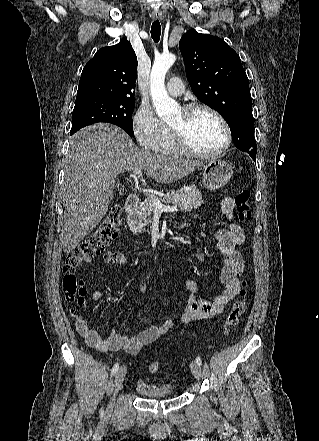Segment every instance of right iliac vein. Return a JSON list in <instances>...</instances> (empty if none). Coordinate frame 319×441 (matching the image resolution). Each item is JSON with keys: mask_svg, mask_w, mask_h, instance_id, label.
<instances>
[{"mask_svg": "<svg viewBox=\"0 0 319 441\" xmlns=\"http://www.w3.org/2000/svg\"><path fill=\"white\" fill-rule=\"evenodd\" d=\"M126 372H127L126 367L122 366L118 369V371L115 374L114 383H113L114 394H113L112 398L110 399L108 406L106 408L107 415H110L113 410L115 394L120 389V387L124 381V378L126 376Z\"/></svg>", "mask_w": 319, "mask_h": 441, "instance_id": "right-iliac-vein-1", "label": "right iliac vein"}]
</instances>
